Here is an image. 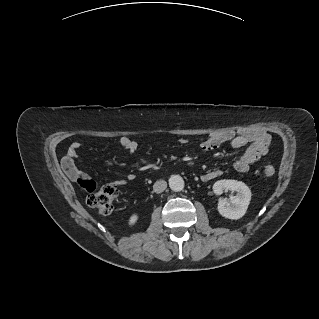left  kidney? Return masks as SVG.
<instances>
[{"instance_id": "1", "label": "left kidney", "mask_w": 319, "mask_h": 319, "mask_svg": "<svg viewBox=\"0 0 319 319\" xmlns=\"http://www.w3.org/2000/svg\"><path fill=\"white\" fill-rule=\"evenodd\" d=\"M213 191L216 195L228 191L236 192L229 200L219 199L217 209L223 217L237 220L245 215L251 200V190L245 183L237 180H219L214 183Z\"/></svg>"}]
</instances>
